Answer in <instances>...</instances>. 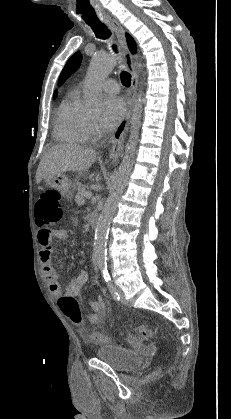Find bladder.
Returning <instances> with one entry per match:
<instances>
[{"instance_id": "bladder-1", "label": "bladder", "mask_w": 231, "mask_h": 419, "mask_svg": "<svg viewBox=\"0 0 231 419\" xmlns=\"http://www.w3.org/2000/svg\"><path fill=\"white\" fill-rule=\"evenodd\" d=\"M95 356L119 372L132 371L141 366L145 361L143 355L110 343L99 345L95 350Z\"/></svg>"}]
</instances>
